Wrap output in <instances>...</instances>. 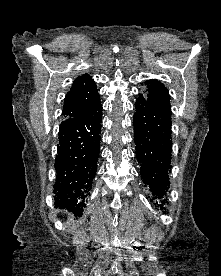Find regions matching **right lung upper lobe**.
Instances as JSON below:
<instances>
[{"mask_svg": "<svg viewBox=\"0 0 221 276\" xmlns=\"http://www.w3.org/2000/svg\"><path fill=\"white\" fill-rule=\"evenodd\" d=\"M99 101V93L94 80L90 75L84 74L74 81L72 88L67 93L62 116L65 119L81 117Z\"/></svg>", "mask_w": 221, "mask_h": 276, "instance_id": "obj_1", "label": "right lung upper lobe"}]
</instances>
